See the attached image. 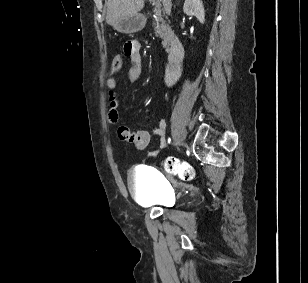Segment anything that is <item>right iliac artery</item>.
Here are the masks:
<instances>
[{
	"label": "right iliac artery",
	"instance_id": "obj_1",
	"mask_svg": "<svg viewBox=\"0 0 308 283\" xmlns=\"http://www.w3.org/2000/svg\"><path fill=\"white\" fill-rule=\"evenodd\" d=\"M170 142H171V139L169 138V139H168V143H170Z\"/></svg>",
	"mask_w": 308,
	"mask_h": 283
}]
</instances>
